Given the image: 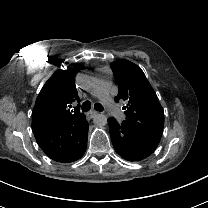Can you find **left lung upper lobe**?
I'll use <instances>...</instances> for the list:
<instances>
[{"mask_svg": "<svg viewBox=\"0 0 208 208\" xmlns=\"http://www.w3.org/2000/svg\"><path fill=\"white\" fill-rule=\"evenodd\" d=\"M119 85L115 101H124L123 110L131 127L159 144L164 127V111L144 72L136 64L119 60L111 63Z\"/></svg>", "mask_w": 208, "mask_h": 208, "instance_id": "left-lung-upper-lobe-1", "label": "left lung upper lobe"}]
</instances>
